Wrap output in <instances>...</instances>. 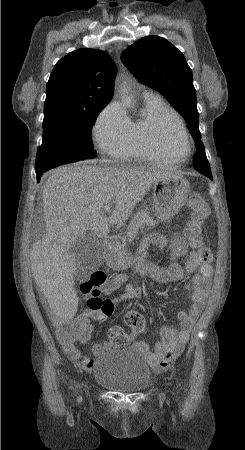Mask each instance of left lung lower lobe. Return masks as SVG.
Returning a JSON list of instances; mask_svg holds the SVG:
<instances>
[{"mask_svg":"<svg viewBox=\"0 0 245 450\" xmlns=\"http://www.w3.org/2000/svg\"><path fill=\"white\" fill-rule=\"evenodd\" d=\"M196 153L198 154V155H204V153H205V150H204V148L202 147V146H199V147H197V151H196ZM201 173V172H200ZM202 174H204V175H206L208 178H210L211 180H212V175H211V171L210 172H202Z\"/></svg>","mask_w":245,"mask_h":450,"instance_id":"0a47b994","label":"left lung lower lobe"}]
</instances>
